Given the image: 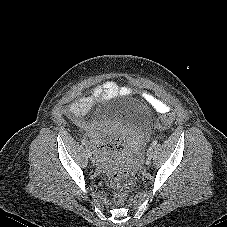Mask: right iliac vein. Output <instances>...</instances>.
Here are the masks:
<instances>
[{
	"label": "right iliac vein",
	"instance_id": "obj_1",
	"mask_svg": "<svg viewBox=\"0 0 227 227\" xmlns=\"http://www.w3.org/2000/svg\"><path fill=\"white\" fill-rule=\"evenodd\" d=\"M86 154L88 157H90V158L92 157V152L88 146H86Z\"/></svg>",
	"mask_w": 227,
	"mask_h": 227
}]
</instances>
